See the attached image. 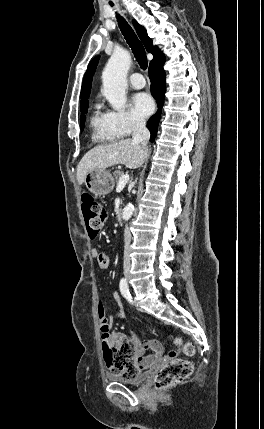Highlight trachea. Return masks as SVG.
<instances>
[{"instance_id":"trachea-1","label":"trachea","mask_w":264,"mask_h":429,"mask_svg":"<svg viewBox=\"0 0 264 429\" xmlns=\"http://www.w3.org/2000/svg\"><path fill=\"white\" fill-rule=\"evenodd\" d=\"M113 6V4H111ZM117 20L119 24V28L127 41L128 45L132 49V52L136 58V61L140 65V67L145 70L148 65L146 52L144 49V46L138 39L137 35L135 34L134 30L130 27V25L126 22V20L117 15Z\"/></svg>"}]
</instances>
